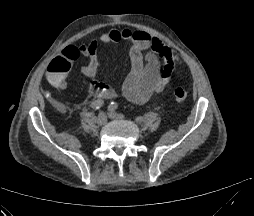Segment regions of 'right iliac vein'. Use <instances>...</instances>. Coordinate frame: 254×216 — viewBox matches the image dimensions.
<instances>
[{"label": "right iliac vein", "mask_w": 254, "mask_h": 216, "mask_svg": "<svg viewBox=\"0 0 254 216\" xmlns=\"http://www.w3.org/2000/svg\"><path fill=\"white\" fill-rule=\"evenodd\" d=\"M96 122L98 125L102 126L107 122V115L104 112H100L97 116Z\"/></svg>", "instance_id": "right-iliac-vein-1"}]
</instances>
